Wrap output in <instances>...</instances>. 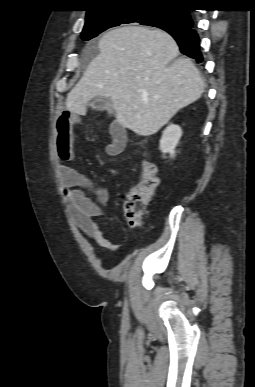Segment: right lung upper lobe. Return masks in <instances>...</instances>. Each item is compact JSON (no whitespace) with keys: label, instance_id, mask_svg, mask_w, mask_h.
Listing matches in <instances>:
<instances>
[{"label":"right lung upper lobe","instance_id":"cb5924a9","mask_svg":"<svg viewBox=\"0 0 255 387\" xmlns=\"http://www.w3.org/2000/svg\"><path fill=\"white\" fill-rule=\"evenodd\" d=\"M91 5L87 10L86 16L92 14L107 11L114 8H123V7H158V6H167L169 8L173 7H185L188 4L189 0H90ZM183 17L188 21L186 26L192 25L193 21L190 16L183 13L185 9H180ZM163 28H169L164 26Z\"/></svg>","mask_w":255,"mask_h":387}]
</instances>
